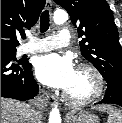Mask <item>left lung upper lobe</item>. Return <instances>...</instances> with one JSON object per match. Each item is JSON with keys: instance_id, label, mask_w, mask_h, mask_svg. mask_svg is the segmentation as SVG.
<instances>
[{"instance_id": "1", "label": "left lung upper lobe", "mask_w": 122, "mask_h": 123, "mask_svg": "<svg viewBox=\"0 0 122 123\" xmlns=\"http://www.w3.org/2000/svg\"><path fill=\"white\" fill-rule=\"evenodd\" d=\"M78 28L82 56L106 81L122 77V48L112 11L105 0H54Z\"/></svg>"}]
</instances>
